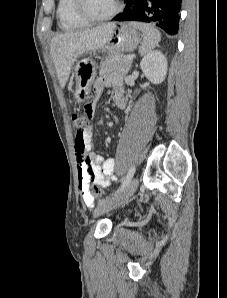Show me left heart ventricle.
<instances>
[{"mask_svg": "<svg viewBox=\"0 0 227 298\" xmlns=\"http://www.w3.org/2000/svg\"><path fill=\"white\" fill-rule=\"evenodd\" d=\"M117 0H87L89 11L95 16H104L116 6Z\"/></svg>", "mask_w": 227, "mask_h": 298, "instance_id": "obj_1", "label": "left heart ventricle"}]
</instances>
